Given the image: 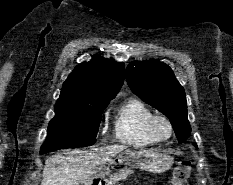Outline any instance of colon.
<instances>
[{
  "label": "colon",
  "mask_w": 233,
  "mask_h": 185,
  "mask_svg": "<svg viewBox=\"0 0 233 185\" xmlns=\"http://www.w3.org/2000/svg\"><path fill=\"white\" fill-rule=\"evenodd\" d=\"M191 174V163L189 160L179 161L172 174V185H187Z\"/></svg>",
  "instance_id": "colon-1"
}]
</instances>
